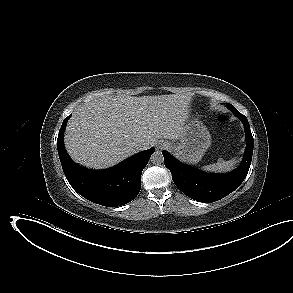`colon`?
<instances>
[{
	"mask_svg": "<svg viewBox=\"0 0 293 293\" xmlns=\"http://www.w3.org/2000/svg\"><path fill=\"white\" fill-rule=\"evenodd\" d=\"M226 118L225 117H223V116H220L219 118H218V121L220 122V123H225L226 122Z\"/></svg>",
	"mask_w": 293,
	"mask_h": 293,
	"instance_id": "obj_1",
	"label": "colon"
}]
</instances>
